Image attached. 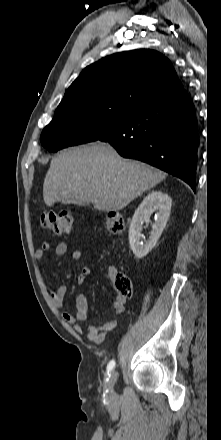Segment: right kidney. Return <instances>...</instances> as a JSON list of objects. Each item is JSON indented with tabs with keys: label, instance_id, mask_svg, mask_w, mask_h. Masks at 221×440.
<instances>
[{
	"label": "right kidney",
	"instance_id": "1",
	"mask_svg": "<svg viewBox=\"0 0 221 440\" xmlns=\"http://www.w3.org/2000/svg\"><path fill=\"white\" fill-rule=\"evenodd\" d=\"M172 200L162 191H152L136 209L129 228V243L133 254L141 259L145 257L156 245L170 216ZM155 214V223L149 239L145 243L140 242L141 231L144 223H149L150 216Z\"/></svg>",
	"mask_w": 221,
	"mask_h": 440
}]
</instances>
